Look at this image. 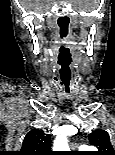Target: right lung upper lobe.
I'll return each instance as SVG.
<instances>
[{
    "label": "right lung upper lobe",
    "instance_id": "cb5924a9",
    "mask_svg": "<svg viewBox=\"0 0 115 155\" xmlns=\"http://www.w3.org/2000/svg\"><path fill=\"white\" fill-rule=\"evenodd\" d=\"M18 155H54L50 137L39 129H32L25 136Z\"/></svg>",
    "mask_w": 115,
    "mask_h": 155
}]
</instances>
